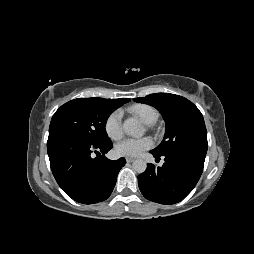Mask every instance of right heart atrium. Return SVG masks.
I'll use <instances>...</instances> for the list:
<instances>
[{"label": "right heart atrium", "instance_id": "1", "mask_svg": "<svg viewBox=\"0 0 254 254\" xmlns=\"http://www.w3.org/2000/svg\"><path fill=\"white\" fill-rule=\"evenodd\" d=\"M104 128L108 137L113 140H118L122 136L120 111H114L106 118Z\"/></svg>", "mask_w": 254, "mask_h": 254}]
</instances>
